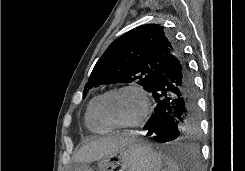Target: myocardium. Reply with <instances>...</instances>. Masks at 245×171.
<instances>
[{
    "instance_id": "myocardium-1",
    "label": "myocardium",
    "mask_w": 245,
    "mask_h": 171,
    "mask_svg": "<svg viewBox=\"0 0 245 171\" xmlns=\"http://www.w3.org/2000/svg\"><path fill=\"white\" fill-rule=\"evenodd\" d=\"M126 90H131L136 92L137 94H139V96L142 99L143 102V109L141 114L139 115V117L134 120L133 122L130 123H115L113 121H111L105 114L104 112V102L105 99L116 92H120V91H126ZM150 107H151V103H150V99L149 96L147 94V92L138 85L135 84H125V85H121V86H117L114 88L109 89L108 91L104 92L102 95H100V98L98 100L97 103V114L100 118V120L106 124L107 126H109L110 128L113 129H133L136 127L141 126L147 119L149 112H150Z\"/></svg>"
}]
</instances>
